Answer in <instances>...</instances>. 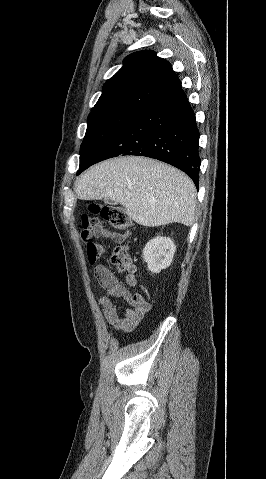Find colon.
Masks as SVG:
<instances>
[{"mask_svg":"<svg viewBox=\"0 0 266 479\" xmlns=\"http://www.w3.org/2000/svg\"><path fill=\"white\" fill-rule=\"evenodd\" d=\"M89 212L91 215L81 217L79 226L86 241L88 260L93 263L104 254V248L90 240L96 233L105 230L106 225L114 228L115 232L123 237H129L131 232L128 216L122 208L91 204ZM112 263L122 272H132L134 270L127 243L114 250Z\"/></svg>","mask_w":266,"mask_h":479,"instance_id":"1","label":"colon"}]
</instances>
